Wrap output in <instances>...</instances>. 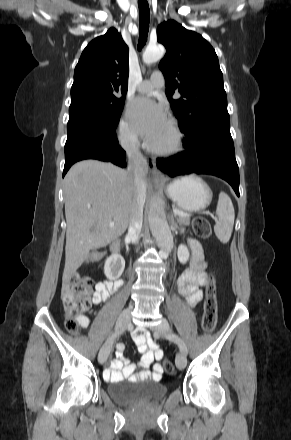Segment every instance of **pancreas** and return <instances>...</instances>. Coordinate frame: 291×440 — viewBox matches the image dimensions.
<instances>
[{
    "mask_svg": "<svg viewBox=\"0 0 291 440\" xmlns=\"http://www.w3.org/2000/svg\"><path fill=\"white\" fill-rule=\"evenodd\" d=\"M176 220L180 225H187L188 226L190 224L189 217L176 216Z\"/></svg>",
    "mask_w": 291,
    "mask_h": 440,
    "instance_id": "pancreas-1",
    "label": "pancreas"
}]
</instances>
